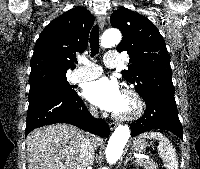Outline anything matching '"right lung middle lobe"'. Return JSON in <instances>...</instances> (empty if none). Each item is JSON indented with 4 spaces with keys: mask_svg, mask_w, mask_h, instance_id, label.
I'll return each mask as SVG.
<instances>
[{
    "mask_svg": "<svg viewBox=\"0 0 200 169\" xmlns=\"http://www.w3.org/2000/svg\"><path fill=\"white\" fill-rule=\"evenodd\" d=\"M75 90L67 82V79H48L30 86L29 101L37 98L50 97L56 94L72 95Z\"/></svg>",
    "mask_w": 200,
    "mask_h": 169,
    "instance_id": "obj_1",
    "label": "right lung middle lobe"
}]
</instances>
